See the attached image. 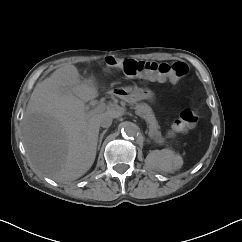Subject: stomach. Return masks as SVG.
Here are the masks:
<instances>
[{
  "instance_id": "obj_1",
  "label": "stomach",
  "mask_w": 242,
  "mask_h": 242,
  "mask_svg": "<svg viewBox=\"0 0 242 242\" xmlns=\"http://www.w3.org/2000/svg\"><path fill=\"white\" fill-rule=\"evenodd\" d=\"M112 93L129 103L154 99V92L152 90L149 88H140L138 86L119 88L112 90Z\"/></svg>"
}]
</instances>
